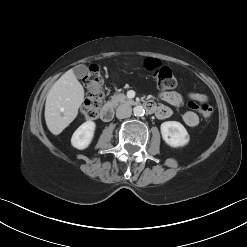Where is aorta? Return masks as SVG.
Returning <instances> with one entry per match:
<instances>
[{
  "instance_id": "obj_1",
  "label": "aorta",
  "mask_w": 247,
  "mask_h": 247,
  "mask_svg": "<svg viewBox=\"0 0 247 247\" xmlns=\"http://www.w3.org/2000/svg\"><path fill=\"white\" fill-rule=\"evenodd\" d=\"M133 112H134V115L139 117V116H143L144 113H145V110L142 106H135L133 108Z\"/></svg>"
}]
</instances>
